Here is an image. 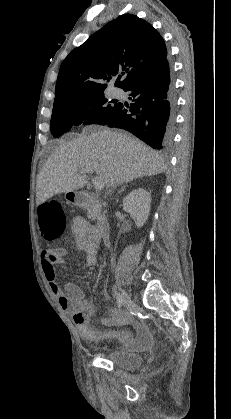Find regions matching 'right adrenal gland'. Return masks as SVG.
<instances>
[{"mask_svg":"<svg viewBox=\"0 0 231 419\" xmlns=\"http://www.w3.org/2000/svg\"><path fill=\"white\" fill-rule=\"evenodd\" d=\"M127 185H124L122 188H121V190H119L118 191V193H120V192H122V191H124V189H125V187H126Z\"/></svg>","mask_w":231,"mask_h":419,"instance_id":"right-adrenal-gland-1","label":"right adrenal gland"}]
</instances>
